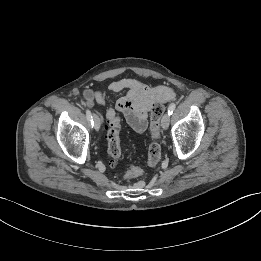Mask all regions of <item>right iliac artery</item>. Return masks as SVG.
<instances>
[{"mask_svg": "<svg viewBox=\"0 0 261 261\" xmlns=\"http://www.w3.org/2000/svg\"><path fill=\"white\" fill-rule=\"evenodd\" d=\"M86 116H87V119L90 122V124L93 126L94 122H93V117H92L90 110H86Z\"/></svg>", "mask_w": 261, "mask_h": 261, "instance_id": "82829eb1", "label": "right iliac artery"}]
</instances>
